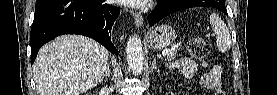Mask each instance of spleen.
<instances>
[{"instance_id":"obj_1","label":"spleen","mask_w":277,"mask_h":95,"mask_svg":"<svg viewBox=\"0 0 277 95\" xmlns=\"http://www.w3.org/2000/svg\"><path fill=\"white\" fill-rule=\"evenodd\" d=\"M210 24L216 35L218 50L220 52L228 51L231 48V37L226 24L217 14L214 13L210 15Z\"/></svg>"}]
</instances>
